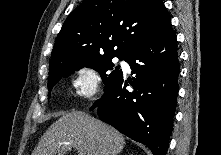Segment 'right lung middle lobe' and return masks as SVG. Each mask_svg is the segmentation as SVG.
<instances>
[{
	"label": "right lung middle lobe",
	"instance_id": "dd1d6c3e",
	"mask_svg": "<svg viewBox=\"0 0 221 155\" xmlns=\"http://www.w3.org/2000/svg\"><path fill=\"white\" fill-rule=\"evenodd\" d=\"M112 58L113 57L103 58V59H98V60H93V61L79 62L71 66L56 69L49 73L48 90L51 91L54 85L62 77H65L71 74L72 72H74L75 70H79L83 67L93 68L96 71H98L101 74L103 82L106 85L105 90H107L122 73L119 67H115V65L112 63ZM125 58L126 57H120L121 60ZM49 97H50V93H49Z\"/></svg>",
	"mask_w": 221,
	"mask_h": 155
}]
</instances>
